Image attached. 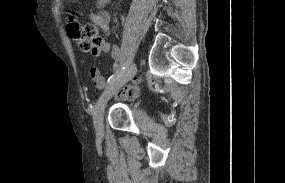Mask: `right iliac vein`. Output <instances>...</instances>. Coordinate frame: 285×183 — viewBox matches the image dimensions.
I'll list each match as a JSON object with an SVG mask.
<instances>
[{
    "instance_id": "right-iliac-vein-1",
    "label": "right iliac vein",
    "mask_w": 285,
    "mask_h": 183,
    "mask_svg": "<svg viewBox=\"0 0 285 183\" xmlns=\"http://www.w3.org/2000/svg\"><path fill=\"white\" fill-rule=\"evenodd\" d=\"M136 73V66L132 64L119 78L110 83L106 90L99 97L93 112V122L99 136L103 135V115L107 102L111 96L124 84L133 78Z\"/></svg>"
}]
</instances>
